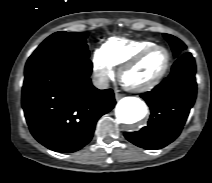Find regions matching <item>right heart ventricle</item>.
Returning <instances> with one entry per match:
<instances>
[{"label": "right heart ventricle", "instance_id": "obj_1", "mask_svg": "<svg viewBox=\"0 0 212 183\" xmlns=\"http://www.w3.org/2000/svg\"><path fill=\"white\" fill-rule=\"evenodd\" d=\"M157 44L150 40H129L125 38H110L103 51L113 66H120L142 49Z\"/></svg>", "mask_w": 212, "mask_h": 183}]
</instances>
